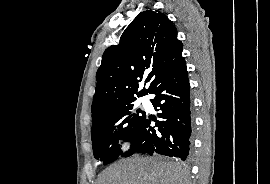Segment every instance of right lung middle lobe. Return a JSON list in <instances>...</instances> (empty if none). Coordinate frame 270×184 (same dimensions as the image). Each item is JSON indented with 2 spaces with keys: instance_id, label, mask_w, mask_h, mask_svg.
Segmentation results:
<instances>
[{
  "instance_id": "dd1d6c3e",
  "label": "right lung middle lobe",
  "mask_w": 270,
  "mask_h": 184,
  "mask_svg": "<svg viewBox=\"0 0 270 184\" xmlns=\"http://www.w3.org/2000/svg\"><path fill=\"white\" fill-rule=\"evenodd\" d=\"M132 100L108 116L92 124L91 138L95 158L104 165L115 161L122 153L119 139L131 141L137 134L146 114L136 109Z\"/></svg>"
}]
</instances>
